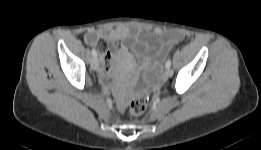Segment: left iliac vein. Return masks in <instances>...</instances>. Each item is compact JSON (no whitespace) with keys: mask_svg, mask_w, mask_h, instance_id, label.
Masks as SVG:
<instances>
[{"mask_svg":"<svg viewBox=\"0 0 261 150\" xmlns=\"http://www.w3.org/2000/svg\"><path fill=\"white\" fill-rule=\"evenodd\" d=\"M164 74H165V77H172V75H173V70L170 69V68H166Z\"/></svg>","mask_w":261,"mask_h":150,"instance_id":"1","label":"left iliac vein"}]
</instances>
